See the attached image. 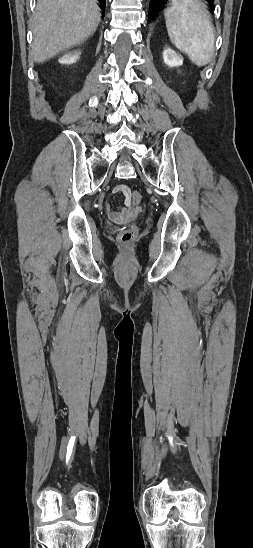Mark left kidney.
<instances>
[{"instance_id": "obj_1", "label": "left kidney", "mask_w": 253, "mask_h": 548, "mask_svg": "<svg viewBox=\"0 0 253 548\" xmlns=\"http://www.w3.org/2000/svg\"><path fill=\"white\" fill-rule=\"evenodd\" d=\"M163 60L169 67H176L183 64L182 56L170 48H166L163 51Z\"/></svg>"}]
</instances>
